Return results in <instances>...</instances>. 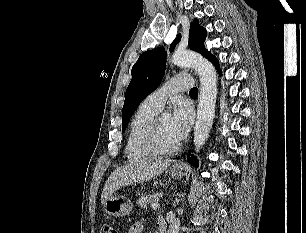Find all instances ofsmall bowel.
Returning a JSON list of instances; mask_svg holds the SVG:
<instances>
[{
  "mask_svg": "<svg viewBox=\"0 0 306 233\" xmlns=\"http://www.w3.org/2000/svg\"><path fill=\"white\" fill-rule=\"evenodd\" d=\"M159 225H165L162 220H160ZM144 223L142 221L135 222L128 230V233H142Z\"/></svg>",
  "mask_w": 306,
  "mask_h": 233,
  "instance_id": "small-bowel-1",
  "label": "small bowel"
}]
</instances>
